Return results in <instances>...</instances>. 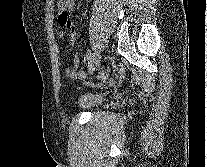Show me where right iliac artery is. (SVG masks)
Masks as SVG:
<instances>
[{"label": "right iliac artery", "instance_id": "obj_1", "mask_svg": "<svg viewBox=\"0 0 207 167\" xmlns=\"http://www.w3.org/2000/svg\"><path fill=\"white\" fill-rule=\"evenodd\" d=\"M86 54H87L88 59L90 60L92 57V51L88 50Z\"/></svg>", "mask_w": 207, "mask_h": 167}]
</instances>
